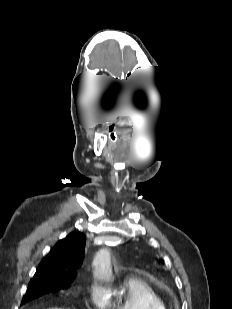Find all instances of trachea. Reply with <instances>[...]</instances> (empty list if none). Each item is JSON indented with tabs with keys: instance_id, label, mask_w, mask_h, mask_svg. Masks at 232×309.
I'll use <instances>...</instances> for the list:
<instances>
[{
	"instance_id": "trachea-1",
	"label": "trachea",
	"mask_w": 232,
	"mask_h": 309,
	"mask_svg": "<svg viewBox=\"0 0 232 309\" xmlns=\"http://www.w3.org/2000/svg\"><path fill=\"white\" fill-rule=\"evenodd\" d=\"M108 136H109V139L111 140V142L115 143L117 141V136L114 133V131H110Z\"/></svg>"
}]
</instances>
